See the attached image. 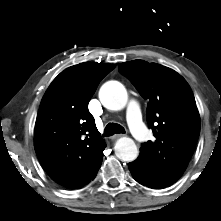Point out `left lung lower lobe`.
Segmentation results:
<instances>
[{
  "label": "left lung lower lobe",
  "mask_w": 221,
  "mask_h": 221,
  "mask_svg": "<svg viewBox=\"0 0 221 221\" xmlns=\"http://www.w3.org/2000/svg\"><path fill=\"white\" fill-rule=\"evenodd\" d=\"M129 170L133 176V178L138 181L139 183L153 188L152 184L150 183L149 179L145 175V171L143 166L138 162V160H135L128 164ZM156 189V188H154Z\"/></svg>",
  "instance_id": "left-lung-lower-lobe-1"
}]
</instances>
